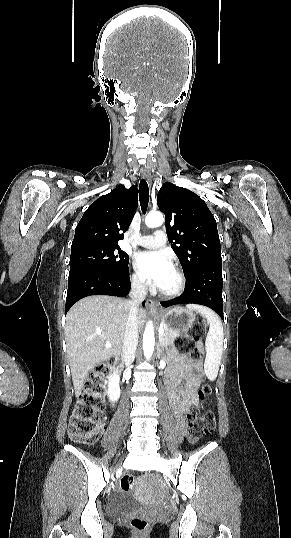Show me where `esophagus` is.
I'll list each match as a JSON object with an SVG mask.
<instances>
[{
  "label": "esophagus",
  "instance_id": "esophagus-1",
  "mask_svg": "<svg viewBox=\"0 0 291 538\" xmlns=\"http://www.w3.org/2000/svg\"><path fill=\"white\" fill-rule=\"evenodd\" d=\"M142 178L146 180V182L151 185V180H150V173H149V170L147 168H144L142 169ZM146 305L147 307L152 310V311H156L157 310V302H155L153 299L151 298H148L147 301H146Z\"/></svg>",
  "mask_w": 291,
  "mask_h": 538
}]
</instances>
